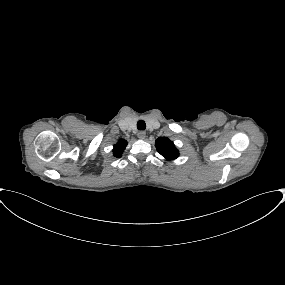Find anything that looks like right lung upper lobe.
Listing matches in <instances>:
<instances>
[{
    "instance_id": "obj_1",
    "label": "right lung upper lobe",
    "mask_w": 285,
    "mask_h": 285,
    "mask_svg": "<svg viewBox=\"0 0 285 285\" xmlns=\"http://www.w3.org/2000/svg\"><path fill=\"white\" fill-rule=\"evenodd\" d=\"M127 145V142L125 140H120L117 145L114 146L113 154L116 157H121L122 152L124 151L125 147Z\"/></svg>"
}]
</instances>
